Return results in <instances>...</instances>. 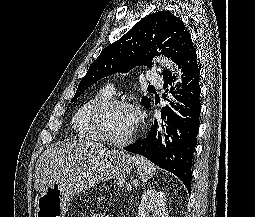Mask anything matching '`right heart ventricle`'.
<instances>
[{"mask_svg":"<svg viewBox=\"0 0 255 217\" xmlns=\"http://www.w3.org/2000/svg\"><path fill=\"white\" fill-rule=\"evenodd\" d=\"M111 96L112 94L107 89H101L78 107L71 123L79 138L93 141L100 140L92 126L91 114L97 106L110 99Z\"/></svg>","mask_w":255,"mask_h":217,"instance_id":"e07e8e85","label":"right heart ventricle"}]
</instances>
